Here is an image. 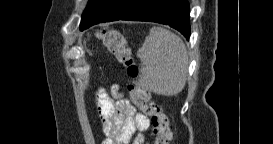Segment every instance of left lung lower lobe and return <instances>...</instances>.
I'll return each mask as SVG.
<instances>
[{"label":"left lung lower lobe","instance_id":"0a47b994","mask_svg":"<svg viewBox=\"0 0 273 144\" xmlns=\"http://www.w3.org/2000/svg\"><path fill=\"white\" fill-rule=\"evenodd\" d=\"M187 0H92L82 15L80 30L114 20L151 21L169 25L190 37Z\"/></svg>","mask_w":273,"mask_h":144}]
</instances>
